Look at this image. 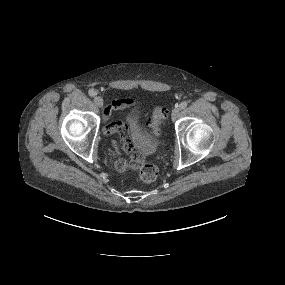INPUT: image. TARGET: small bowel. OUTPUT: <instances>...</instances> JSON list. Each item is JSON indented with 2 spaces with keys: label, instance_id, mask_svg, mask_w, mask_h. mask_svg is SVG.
Masks as SVG:
<instances>
[{
  "label": "small bowel",
  "instance_id": "1",
  "mask_svg": "<svg viewBox=\"0 0 285 285\" xmlns=\"http://www.w3.org/2000/svg\"><path fill=\"white\" fill-rule=\"evenodd\" d=\"M133 105H134V101L132 99H129V98L113 100L104 109V112H103L104 119L108 118L111 111L126 109V108L133 106ZM113 125H120L122 127L123 131L124 132L126 131V128L122 123H113V124L108 126V128H107L108 133H113V130H112ZM122 140H123V138H122ZM129 168H132V167L129 165V161H127V160L120 159L116 162V169L121 173L126 172Z\"/></svg>",
  "mask_w": 285,
  "mask_h": 285
}]
</instances>
